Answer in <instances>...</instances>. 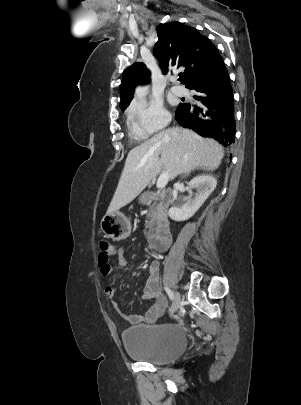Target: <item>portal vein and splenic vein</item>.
I'll list each match as a JSON object with an SVG mask.
<instances>
[{"mask_svg":"<svg viewBox=\"0 0 301 405\" xmlns=\"http://www.w3.org/2000/svg\"><path fill=\"white\" fill-rule=\"evenodd\" d=\"M168 180H169L168 173L167 172L162 173L157 180L156 187L159 189L164 188L167 185Z\"/></svg>","mask_w":301,"mask_h":405,"instance_id":"portal-vein-and-splenic-vein-1","label":"portal vein and splenic vein"}]
</instances>
